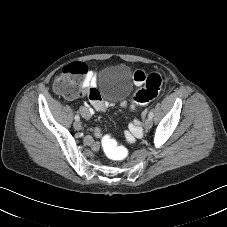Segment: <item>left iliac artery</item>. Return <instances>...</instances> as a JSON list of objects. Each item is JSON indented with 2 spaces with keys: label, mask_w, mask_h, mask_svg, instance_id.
Returning a JSON list of instances; mask_svg holds the SVG:
<instances>
[{
  "label": "left iliac artery",
  "mask_w": 227,
  "mask_h": 227,
  "mask_svg": "<svg viewBox=\"0 0 227 227\" xmlns=\"http://www.w3.org/2000/svg\"><path fill=\"white\" fill-rule=\"evenodd\" d=\"M153 116H154V113H153V110H151V111L149 112V116H148V118L152 119V118H153Z\"/></svg>",
  "instance_id": "left-iliac-artery-1"
}]
</instances>
